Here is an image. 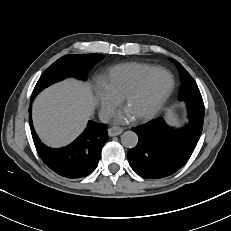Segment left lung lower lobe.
I'll list each match as a JSON object with an SVG mask.
<instances>
[{"mask_svg":"<svg viewBox=\"0 0 231 231\" xmlns=\"http://www.w3.org/2000/svg\"><path fill=\"white\" fill-rule=\"evenodd\" d=\"M188 118L189 124L180 129L160 118L133 128L139 142L127 154L131 168L151 179L177 172L192 155L203 128L204 115L189 113Z\"/></svg>","mask_w":231,"mask_h":231,"instance_id":"1","label":"left lung lower lobe"}]
</instances>
